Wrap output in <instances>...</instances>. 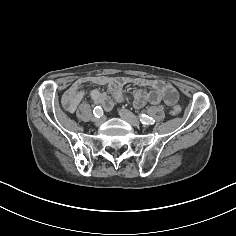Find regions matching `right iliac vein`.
Masks as SVG:
<instances>
[{
	"mask_svg": "<svg viewBox=\"0 0 236 236\" xmlns=\"http://www.w3.org/2000/svg\"><path fill=\"white\" fill-rule=\"evenodd\" d=\"M104 121H105V117H101V118H98V119L97 118L93 119L94 124L98 125V126L101 125Z\"/></svg>",
	"mask_w": 236,
	"mask_h": 236,
	"instance_id": "right-iliac-vein-1",
	"label": "right iliac vein"
}]
</instances>
